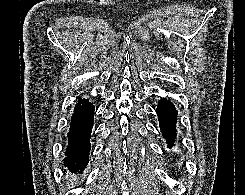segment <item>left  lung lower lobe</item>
<instances>
[{"instance_id": "0a47b994", "label": "left lung lower lobe", "mask_w": 245, "mask_h": 195, "mask_svg": "<svg viewBox=\"0 0 245 195\" xmlns=\"http://www.w3.org/2000/svg\"><path fill=\"white\" fill-rule=\"evenodd\" d=\"M157 115L161 132L171 147L172 143L176 139L175 125L177 120V111L170 101L163 99L159 101L157 105Z\"/></svg>"}]
</instances>
